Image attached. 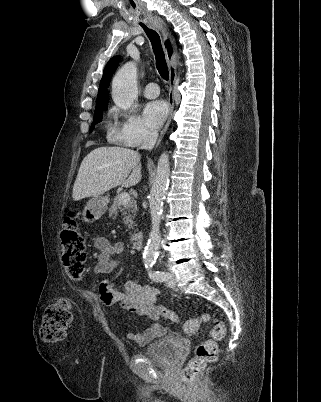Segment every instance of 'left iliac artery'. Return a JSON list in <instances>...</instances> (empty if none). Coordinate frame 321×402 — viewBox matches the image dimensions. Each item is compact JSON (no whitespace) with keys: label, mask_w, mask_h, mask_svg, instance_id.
<instances>
[{"label":"left iliac artery","mask_w":321,"mask_h":402,"mask_svg":"<svg viewBox=\"0 0 321 402\" xmlns=\"http://www.w3.org/2000/svg\"><path fill=\"white\" fill-rule=\"evenodd\" d=\"M149 277L156 282H163L168 279V274L160 271H152V265L146 266Z\"/></svg>","instance_id":"1"}]
</instances>
